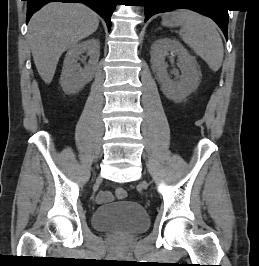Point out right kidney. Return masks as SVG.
<instances>
[{
  "label": "right kidney",
  "instance_id": "right-kidney-1",
  "mask_svg": "<svg viewBox=\"0 0 259 266\" xmlns=\"http://www.w3.org/2000/svg\"><path fill=\"white\" fill-rule=\"evenodd\" d=\"M89 56V61L82 68L78 60L82 54ZM100 56V41L91 38L72 46L66 53L60 84L64 92L74 94L89 83L95 74Z\"/></svg>",
  "mask_w": 259,
  "mask_h": 266
}]
</instances>
